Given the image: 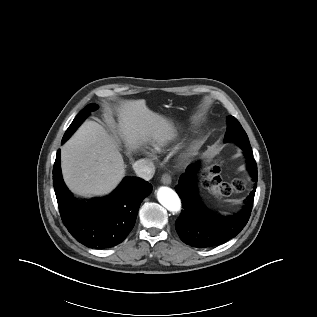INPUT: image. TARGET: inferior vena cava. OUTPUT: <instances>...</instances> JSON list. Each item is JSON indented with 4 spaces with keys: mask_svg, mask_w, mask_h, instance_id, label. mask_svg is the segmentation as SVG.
I'll return each mask as SVG.
<instances>
[{
    "mask_svg": "<svg viewBox=\"0 0 317 317\" xmlns=\"http://www.w3.org/2000/svg\"><path fill=\"white\" fill-rule=\"evenodd\" d=\"M136 175L146 181L152 179L155 173V166L152 161L140 159L132 165Z\"/></svg>",
    "mask_w": 317,
    "mask_h": 317,
    "instance_id": "602c4592",
    "label": "inferior vena cava"
}]
</instances>
